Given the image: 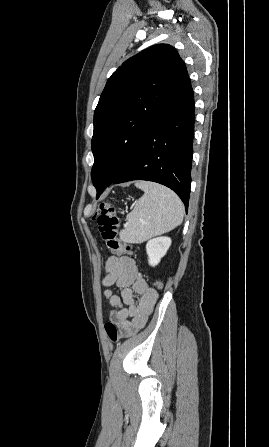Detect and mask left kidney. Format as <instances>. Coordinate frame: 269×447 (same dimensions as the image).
Masks as SVG:
<instances>
[{"label": "left kidney", "instance_id": "1", "mask_svg": "<svg viewBox=\"0 0 269 447\" xmlns=\"http://www.w3.org/2000/svg\"><path fill=\"white\" fill-rule=\"evenodd\" d=\"M171 245V237H153L146 243L149 265H157Z\"/></svg>", "mask_w": 269, "mask_h": 447}]
</instances>
